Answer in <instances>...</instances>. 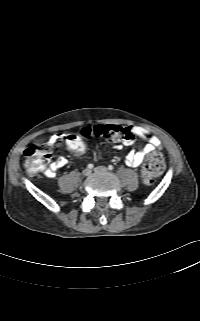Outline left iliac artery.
<instances>
[{
  "mask_svg": "<svg viewBox=\"0 0 200 321\" xmlns=\"http://www.w3.org/2000/svg\"><path fill=\"white\" fill-rule=\"evenodd\" d=\"M108 169H109V170H113V166H112V165H109V166H108Z\"/></svg>",
  "mask_w": 200,
  "mask_h": 321,
  "instance_id": "44dca946",
  "label": "left iliac artery"
}]
</instances>
